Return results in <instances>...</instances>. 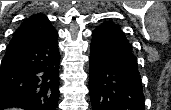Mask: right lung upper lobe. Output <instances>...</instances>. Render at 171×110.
<instances>
[{
  "instance_id": "obj_1",
  "label": "right lung upper lobe",
  "mask_w": 171,
  "mask_h": 110,
  "mask_svg": "<svg viewBox=\"0 0 171 110\" xmlns=\"http://www.w3.org/2000/svg\"><path fill=\"white\" fill-rule=\"evenodd\" d=\"M55 32V28L44 14L38 13L24 19L8 44L4 57L17 56L19 52L47 40Z\"/></svg>"
}]
</instances>
